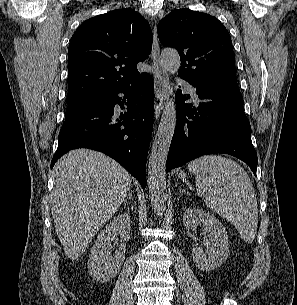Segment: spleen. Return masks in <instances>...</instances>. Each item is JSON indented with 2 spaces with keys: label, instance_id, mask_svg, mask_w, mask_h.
<instances>
[{
  "label": "spleen",
  "instance_id": "1",
  "mask_svg": "<svg viewBox=\"0 0 297 305\" xmlns=\"http://www.w3.org/2000/svg\"><path fill=\"white\" fill-rule=\"evenodd\" d=\"M188 170L195 175L197 194L205 205L230 221L245 242H253L258 209L255 190L246 171L237 162L217 155L193 160Z\"/></svg>",
  "mask_w": 297,
  "mask_h": 305
}]
</instances>
